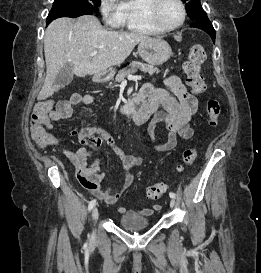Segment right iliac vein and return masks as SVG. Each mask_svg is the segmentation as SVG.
<instances>
[{"mask_svg":"<svg viewBox=\"0 0 261 273\" xmlns=\"http://www.w3.org/2000/svg\"><path fill=\"white\" fill-rule=\"evenodd\" d=\"M98 216H99L98 208H97V207H94V208H93V211H92V219H93V222H96V221H97ZM94 234H95V232L93 231L92 236H94Z\"/></svg>","mask_w":261,"mask_h":273,"instance_id":"obj_1","label":"right iliac vein"}]
</instances>
